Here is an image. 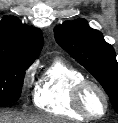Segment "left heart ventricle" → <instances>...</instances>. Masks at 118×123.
I'll use <instances>...</instances> for the list:
<instances>
[{"mask_svg":"<svg viewBox=\"0 0 118 123\" xmlns=\"http://www.w3.org/2000/svg\"><path fill=\"white\" fill-rule=\"evenodd\" d=\"M84 104L92 114L99 115L104 111V101L99 92L93 88L85 93Z\"/></svg>","mask_w":118,"mask_h":123,"instance_id":"b2bd125f","label":"left heart ventricle"}]
</instances>
